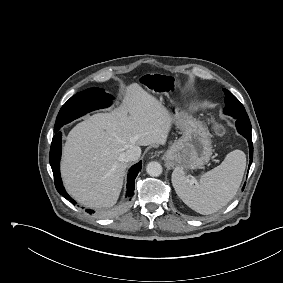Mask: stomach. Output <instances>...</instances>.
Masks as SVG:
<instances>
[{
  "instance_id": "stomach-1",
  "label": "stomach",
  "mask_w": 283,
  "mask_h": 283,
  "mask_svg": "<svg viewBox=\"0 0 283 283\" xmlns=\"http://www.w3.org/2000/svg\"><path fill=\"white\" fill-rule=\"evenodd\" d=\"M168 111L182 136L164 154V159L180 168L196 169L206 164L212 155L209 133L202 122L183 108L172 105Z\"/></svg>"
}]
</instances>
